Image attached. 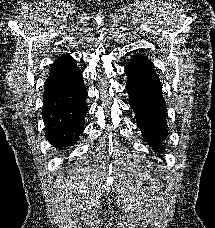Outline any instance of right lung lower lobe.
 I'll return each mask as SVG.
<instances>
[{"mask_svg": "<svg viewBox=\"0 0 215 228\" xmlns=\"http://www.w3.org/2000/svg\"><path fill=\"white\" fill-rule=\"evenodd\" d=\"M61 85L53 95L44 99L43 118L46 124V139L58 150L73 146L84 131L87 90L82 74L73 79H54L48 83Z\"/></svg>", "mask_w": 215, "mask_h": 228, "instance_id": "98d812e1", "label": "right lung lower lobe"}]
</instances>
